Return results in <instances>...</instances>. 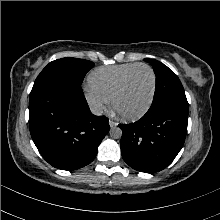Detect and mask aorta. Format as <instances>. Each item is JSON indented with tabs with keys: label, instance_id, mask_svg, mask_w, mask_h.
Segmentation results:
<instances>
[{
	"label": "aorta",
	"instance_id": "aorta-1",
	"mask_svg": "<svg viewBox=\"0 0 220 220\" xmlns=\"http://www.w3.org/2000/svg\"><path fill=\"white\" fill-rule=\"evenodd\" d=\"M110 136L114 139H119L122 136V130L117 126H114L110 129Z\"/></svg>",
	"mask_w": 220,
	"mask_h": 220
}]
</instances>
